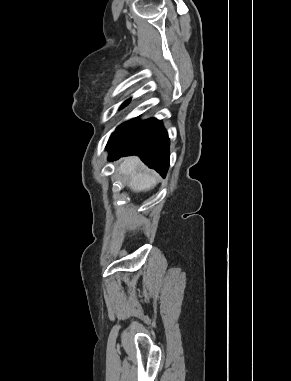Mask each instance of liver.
Segmentation results:
<instances>
[{
	"instance_id": "1",
	"label": "liver",
	"mask_w": 291,
	"mask_h": 381,
	"mask_svg": "<svg viewBox=\"0 0 291 381\" xmlns=\"http://www.w3.org/2000/svg\"><path fill=\"white\" fill-rule=\"evenodd\" d=\"M140 160L138 157H129L120 164L119 172L129 179L127 186L135 192L147 191L157 183V177L152 173L138 172Z\"/></svg>"
}]
</instances>
